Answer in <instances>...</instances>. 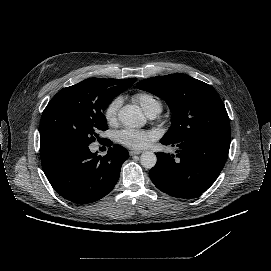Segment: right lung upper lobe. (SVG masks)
Segmentation results:
<instances>
[{
    "label": "right lung upper lobe",
    "instance_id": "right-lung-upper-lobe-1",
    "mask_svg": "<svg viewBox=\"0 0 271 271\" xmlns=\"http://www.w3.org/2000/svg\"><path fill=\"white\" fill-rule=\"evenodd\" d=\"M136 78L130 79H101V78H90L86 79L76 85L70 87L85 88L88 94H92L93 97L98 98L103 91L110 87H130Z\"/></svg>",
    "mask_w": 271,
    "mask_h": 271
}]
</instances>
